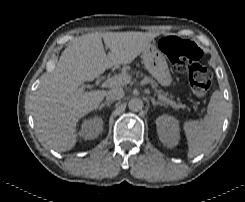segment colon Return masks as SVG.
Instances as JSON below:
<instances>
[{
	"mask_svg": "<svg viewBox=\"0 0 245 202\" xmlns=\"http://www.w3.org/2000/svg\"><path fill=\"white\" fill-rule=\"evenodd\" d=\"M160 47L178 72L187 73L191 91L204 96L211 88L212 74L200 65L201 50L191 41L176 36L161 38Z\"/></svg>",
	"mask_w": 245,
	"mask_h": 202,
	"instance_id": "5ec220e1",
	"label": "colon"
}]
</instances>
